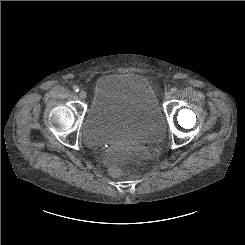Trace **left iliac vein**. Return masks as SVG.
Segmentation results:
<instances>
[{"label": "left iliac vein", "instance_id": "left-iliac-vein-1", "mask_svg": "<svg viewBox=\"0 0 245 245\" xmlns=\"http://www.w3.org/2000/svg\"><path fill=\"white\" fill-rule=\"evenodd\" d=\"M166 100H169L171 98V92H167L164 96Z\"/></svg>", "mask_w": 245, "mask_h": 245}]
</instances>
